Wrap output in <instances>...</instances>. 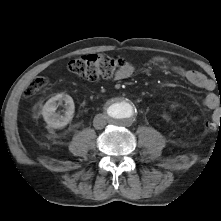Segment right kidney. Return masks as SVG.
<instances>
[{
  "label": "right kidney",
  "instance_id": "obj_1",
  "mask_svg": "<svg viewBox=\"0 0 221 221\" xmlns=\"http://www.w3.org/2000/svg\"><path fill=\"white\" fill-rule=\"evenodd\" d=\"M65 102V113L60 115L56 113L59 105ZM75 111L74 101L68 94H57L50 98L42 108V115L49 127L54 129L64 128L73 118Z\"/></svg>",
  "mask_w": 221,
  "mask_h": 221
}]
</instances>
